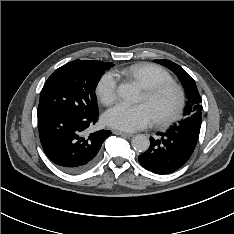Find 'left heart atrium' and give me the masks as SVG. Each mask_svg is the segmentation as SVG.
I'll use <instances>...</instances> for the list:
<instances>
[{
    "mask_svg": "<svg viewBox=\"0 0 234 234\" xmlns=\"http://www.w3.org/2000/svg\"><path fill=\"white\" fill-rule=\"evenodd\" d=\"M103 119L111 128L133 132L147 127L154 118L144 103L135 106L120 103L107 110Z\"/></svg>",
    "mask_w": 234,
    "mask_h": 234,
    "instance_id": "39dd6f15",
    "label": "left heart atrium"
}]
</instances>
